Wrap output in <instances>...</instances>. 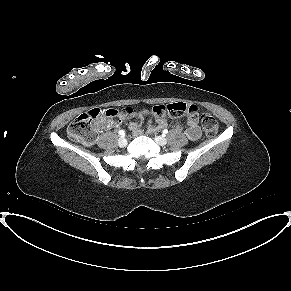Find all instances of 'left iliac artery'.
Masks as SVG:
<instances>
[{
    "mask_svg": "<svg viewBox=\"0 0 291 291\" xmlns=\"http://www.w3.org/2000/svg\"><path fill=\"white\" fill-rule=\"evenodd\" d=\"M167 133H168V130L167 129H164L163 130V134L166 135Z\"/></svg>",
    "mask_w": 291,
    "mask_h": 291,
    "instance_id": "44dca946",
    "label": "left iliac artery"
}]
</instances>
